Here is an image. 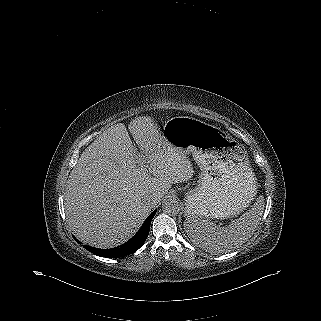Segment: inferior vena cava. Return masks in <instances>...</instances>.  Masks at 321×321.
<instances>
[{
	"label": "inferior vena cava",
	"mask_w": 321,
	"mask_h": 321,
	"mask_svg": "<svg viewBox=\"0 0 321 321\" xmlns=\"http://www.w3.org/2000/svg\"><path fill=\"white\" fill-rule=\"evenodd\" d=\"M153 201L154 200L151 197H149L146 202H147L148 205H152Z\"/></svg>",
	"instance_id": "inferior-vena-cava-1"
}]
</instances>
